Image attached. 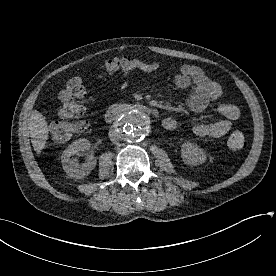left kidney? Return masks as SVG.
Masks as SVG:
<instances>
[{
  "label": "left kidney",
  "mask_w": 276,
  "mask_h": 276,
  "mask_svg": "<svg viewBox=\"0 0 276 276\" xmlns=\"http://www.w3.org/2000/svg\"><path fill=\"white\" fill-rule=\"evenodd\" d=\"M181 157L184 163L190 166L203 164L207 159L204 151L197 144L191 142L182 144Z\"/></svg>",
  "instance_id": "5707ae66"
}]
</instances>
